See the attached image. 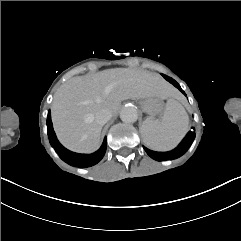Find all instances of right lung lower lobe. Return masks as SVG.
Here are the masks:
<instances>
[{"label": "right lung lower lobe", "instance_id": "right-lung-lower-lobe-1", "mask_svg": "<svg viewBox=\"0 0 241 241\" xmlns=\"http://www.w3.org/2000/svg\"><path fill=\"white\" fill-rule=\"evenodd\" d=\"M47 128H48V136H49L51 145L54 147L58 155L66 163L74 167L86 168V167L93 166L103 158L106 152V138L104 139L100 149L92 154H79V153L69 151L68 149L63 147L57 140V137L53 130L50 111L48 112V117H47Z\"/></svg>", "mask_w": 241, "mask_h": 241}]
</instances>
